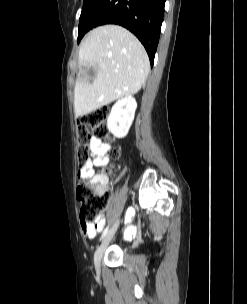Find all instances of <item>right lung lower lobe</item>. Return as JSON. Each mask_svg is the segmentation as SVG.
<instances>
[{
  "label": "right lung lower lobe",
  "mask_w": 247,
  "mask_h": 304,
  "mask_svg": "<svg viewBox=\"0 0 247 304\" xmlns=\"http://www.w3.org/2000/svg\"><path fill=\"white\" fill-rule=\"evenodd\" d=\"M165 1L101 0L82 20L84 34L103 24L121 25L141 41L152 66L159 42Z\"/></svg>",
  "instance_id": "1"
}]
</instances>
